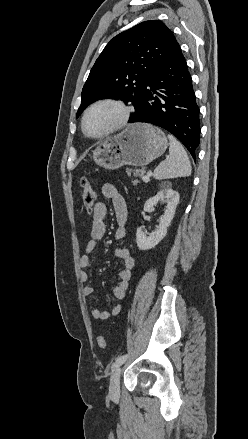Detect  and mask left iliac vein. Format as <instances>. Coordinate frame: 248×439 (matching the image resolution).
Returning <instances> with one entry per match:
<instances>
[{
    "mask_svg": "<svg viewBox=\"0 0 248 439\" xmlns=\"http://www.w3.org/2000/svg\"><path fill=\"white\" fill-rule=\"evenodd\" d=\"M121 367L118 366L110 378L109 395L112 399H117L120 394Z\"/></svg>",
    "mask_w": 248,
    "mask_h": 439,
    "instance_id": "obj_1",
    "label": "left iliac vein"
}]
</instances>
